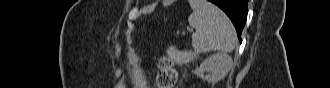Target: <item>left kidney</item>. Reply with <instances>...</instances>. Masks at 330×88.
Returning <instances> with one entry per match:
<instances>
[{
	"label": "left kidney",
	"instance_id": "1",
	"mask_svg": "<svg viewBox=\"0 0 330 88\" xmlns=\"http://www.w3.org/2000/svg\"><path fill=\"white\" fill-rule=\"evenodd\" d=\"M233 66L232 57L227 53H215L200 65L197 75L209 83H217L224 79ZM207 72V75H204Z\"/></svg>",
	"mask_w": 330,
	"mask_h": 88
}]
</instances>
